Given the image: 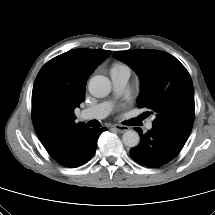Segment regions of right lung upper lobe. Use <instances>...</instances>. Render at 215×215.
<instances>
[{
  "instance_id": "obj_1",
  "label": "right lung upper lobe",
  "mask_w": 215,
  "mask_h": 215,
  "mask_svg": "<svg viewBox=\"0 0 215 215\" xmlns=\"http://www.w3.org/2000/svg\"><path fill=\"white\" fill-rule=\"evenodd\" d=\"M111 51L73 49L48 61L39 71L32 91V120L36 134L58 163L67 160L76 138L89 129L75 123L74 109L84 101L93 70Z\"/></svg>"
}]
</instances>
